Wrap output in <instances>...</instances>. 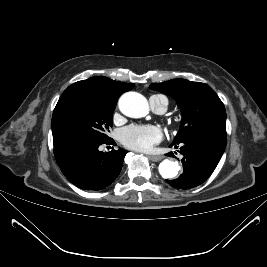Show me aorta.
I'll use <instances>...</instances> for the list:
<instances>
[{
	"label": "aorta",
	"instance_id": "1",
	"mask_svg": "<svg viewBox=\"0 0 267 267\" xmlns=\"http://www.w3.org/2000/svg\"><path fill=\"white\" fill-rule=\"evenodd\" d=\"M120 111L130 118H141L149 112L147 99L137 93L128 92L123 94L118 102ZM180 166L177 161L165 159L159 165V173L164 179H171L177 176Z\"/></svg>",
	"mask_w": 267,
	"mask_h": 267
}]
</instances>
